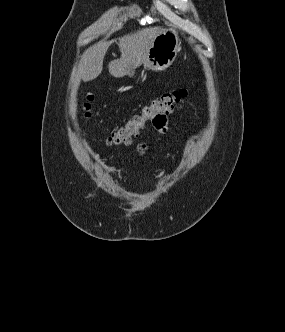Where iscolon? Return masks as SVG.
<instances>
[{
  "label": "colon",
  "instance_id": "5ec220e1",
  "mask_svg": "<svg viewBox=\"0 0 285 332\" xmlns=\"http://www.w3.org/2000/svg\"><path fill=\"white\" fill-rule=\"evenodd\" d=\"M186 97L187 91L183 89L157 97L145 105L139 113L133 115L122 126L111 133L108 137V143L115 146L129 144L134 137H137L150 124L149 115H156L157 111H164L169 116L184 103ZM92 101L93 96L89 95L84 103L83 108L87 118L91 115ZM155 127L157 128V126Z\"/></svg>",
  "mask_w": 285,
  "mask_h": 332
}]
</instances>
